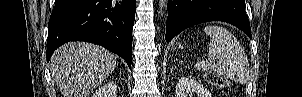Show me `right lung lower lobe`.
Returning <instances> with one entry per match:
<instances>
[{"label": "right lung lower lobe", "instance_id": "obj_1", "mask_svg": "<svg viewBox=\"0 0 302 97\" xmlns=\"http://www.w3.org/2000/svg\"><path fill=\"white\" fill-rule=\"evenodd\" d=\"M135 0H56L48 24L47 61L69 41L91 42L131 66Z\"/></svg>", "mask_w": 302, "mask_h": 97}]
</instances>
